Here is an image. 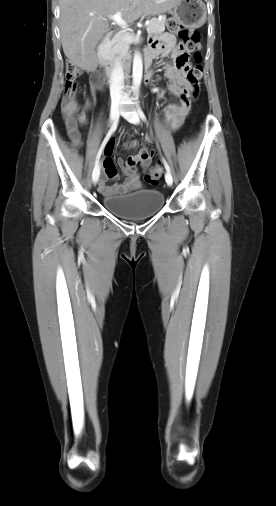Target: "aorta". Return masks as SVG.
<instances>
[{"instance_id": "1", "label": "aorta", "mask_w": 276, "mask_h": 506, "mask_svg": "<svg viewBox=\"0 0 276 506\" xmlns=\"http://www.w3.org/2000/svg\"><path fill=\"white\" fill-rule=\"evenodd\" d=\"M142 74H143L142 57L140 53H135L133 59V72H132L134 92H138L139 90L142 81Z\"/></svg>"}]
</instances>
